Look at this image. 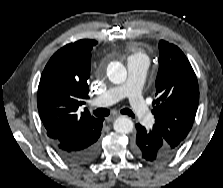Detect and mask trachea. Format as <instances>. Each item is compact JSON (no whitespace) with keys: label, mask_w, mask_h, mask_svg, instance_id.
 Masks as SVG:
<instances>
[{"label":"trachea","mask_w":223,"mask_h":188,"mask_svg":"<svg viewBox=\"0 0 223 188\" xmlns=\"http://www.w3.org/2000/svg\"><path fill=\"white\" fill-rule=\"evenodd\" d=\"M121 113L122 114H126V115H128L130 117H135L133 112L130 109H127V108L126 109H122ZM93 114L95 116H97V117H106V116H108L110 114V111L108 109H106V108H99V109L95 110L93 112Z\"/></svg>","instance_id":"1"}]
</instances>
